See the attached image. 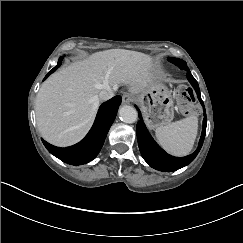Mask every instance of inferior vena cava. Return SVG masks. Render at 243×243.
I'll list each match as a JSON object with an SVG mask.
<instances>
[{"mask_svg": "<svg viewBox=\"0 0 243 243\" xmlns=\"http://www.w3.org/2000/svg\"><path fill=\"white\" fill-rule=\"evenodd\" d=\"M114 96L113 90L108 86L99 92L98 98L100 101H107Z\"/></svg>", "mask_w": 243, "mask_h": 243, "instance_id": "602c4592", "label": "inferior vena cava"}]
</instances>
